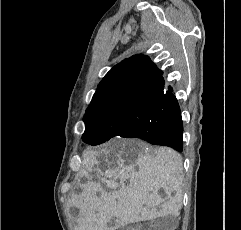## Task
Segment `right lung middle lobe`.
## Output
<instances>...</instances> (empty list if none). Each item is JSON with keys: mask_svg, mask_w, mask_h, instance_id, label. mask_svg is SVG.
<instances>
[{"mask_svg": "<svg viewBox=\"0 0 241 230\" xmlns=\"http://www.w3.org/2000/svg\"><path fill=\"white\" fill-rule=\"evenodd\" d=\"M148 106L149 103L135 110H115L95 121L85 122L86 128L82 140L96 146L114 137L134 138L135 131L146 126L144 113Z\"/></svg>", "mask_w": 241, "mask_h": 230, "instance_id": "dd1d6c3e", "label": "right lung middle lobe"}]
</instances>
